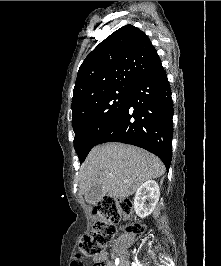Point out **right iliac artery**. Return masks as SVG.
Segmentation results:
<instances>
[{"instance_id": "right-iliac-artery-1", "label": "right iliac artery", "mask_w": 221, "mask_h": 266, "mask_svg": "<svg viewBox=\"0 0 221 266\" xmlns=\"http://www.w3.org/2000/svg\"><path fill=\"white\" fill-rule=\"evenodd\" d=\"M115 264H116V266L119 265V258H116V260H115Z\"/></svg>"}]
</instances>
